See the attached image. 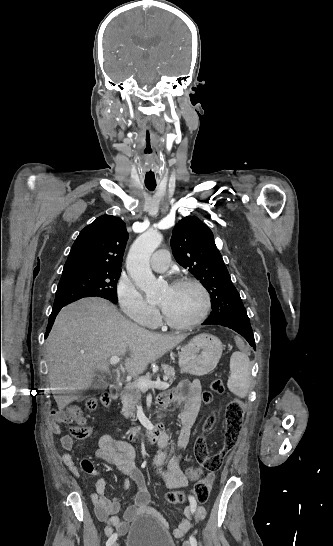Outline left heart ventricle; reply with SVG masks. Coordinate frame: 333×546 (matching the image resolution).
I'll list each match as a JSON object with an SVG mask.
<instances>
[{
	"label": "left heart ventricle",
	"mask_w": 333,
	"mask_h": 546,
	"mask_svg": "<svg viewBox=\"0 0 333 546\" xmlns=\"http://www.w3.org/2000/svg\"><path fill=\"white\" fill-rule=\"evenodd\" d=\"M158 304L165 314L178 323L194 320L200 313L203 297L192 285L168 287L162 293Z\"/></svg>",
	"instance_id": "left-heart-ventricle-1"
}]
</instances>
